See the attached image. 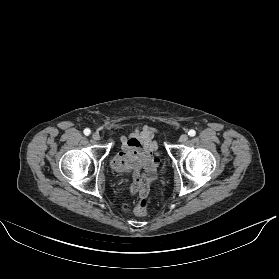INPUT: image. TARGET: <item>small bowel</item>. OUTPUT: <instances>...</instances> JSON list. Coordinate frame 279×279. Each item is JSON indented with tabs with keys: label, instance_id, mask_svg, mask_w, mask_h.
Here are the masks:
<instances>
[{
	"label": "small bowel",
	"instance_id": "obj_1",
	"mask_svg": "<svg viewBox=\"0 0 279 279\" xmlns=\"http://www.w3.org/2000/svg\"><path fill=\"white\" fill-rule=\"evenodd\" d=\"M155 130L143 126L129 137L120 138V151L112 159V167L117 172H132L134 180L130 193L146 197L154 172L158 165V146L154 140Z\"/></svg>",
	"mask_w": 279,
	"mask_h": 279
}]
</instances>
